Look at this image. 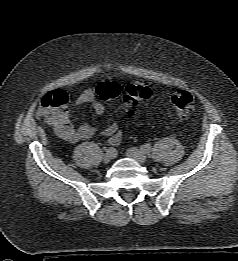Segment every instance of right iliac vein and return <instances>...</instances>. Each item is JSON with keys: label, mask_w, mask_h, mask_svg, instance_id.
Instances as JSON below:
<instances>
[{"label": "right iliac vein", "mask_w": 238, "mask_h": 261, "mask_svg": "<svg viewBox=\"0 0 238 261\" xmlns=\"http://www.w3.org/2000/svg\"><path fill=\"white\" fill-rule=\"evenodd\" d=\"M115 155L108 154L107 152L103 155V161L105 163H109L112 159H114Z\"/></svg>", "instance_id": "1"}]
</instances>
